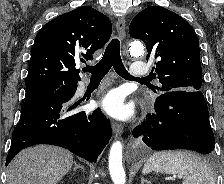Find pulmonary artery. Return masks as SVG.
I'll return each mask as SVG.
<instances>
[{
    "mask_svg": "<svg viewBox=\"0 0 224 184\" xmlns=\"http://www.w3.org/2000/svg\"><path fill=\"white\" fill-rule=\"evenodd\" d=\"M149 73V66L141 61H137L132 65L130 75L133 78H141L147 76ZM82 85L80 86V88Z\"/></svg>",
    "mask_w": 224,
    "mask_h": 184,
    "instance_id": "obj_1",
    "label": "pulmonary artery"
}]
</instances>
